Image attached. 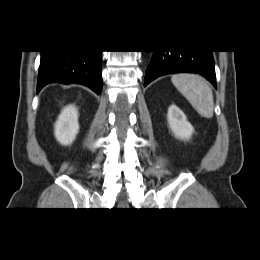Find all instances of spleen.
<instances>
[{
    "instance_id": "obj_1",
    "label": "spleen",
    "mask_w": 260,
    "mask_h": 260,
    "mask_svg": "<svg viewBox=\"0 0 260 260\" xmlns=\"http://www.w3.org/2000/svg\"><path fill=\"white\" fill-rule=\"evenodd\" d=\"M173 85L204 118H212L214 99L208 82L194 74H176L171 77Z\"/></svg>"
}]
</instances>
